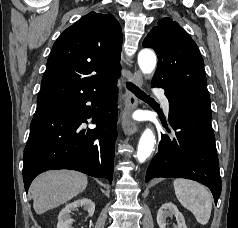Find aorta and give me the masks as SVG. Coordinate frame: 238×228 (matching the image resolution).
Instances as JSON below:
<instances>
[{
    "instance_id": "762f6f07",
    "label": "aorta",
    "mask_w": 238,
    "mask_h": 228,
    "mask_svg": "<svg viewBox=\"0 0 238 228\" xmlns=\"http://www.w3.org/2000/svg\"><path fill=\"white\" fill-rule=\"evenodd\" d=\"M157 63V58L153 50L151 49H142L138 54V65L143 74H151ZM156 140L153 130L147 128L142 133L138 148H137V160L140 163L146 161L147 158L150 157Z\"/></svg>"
}]
</instances>
